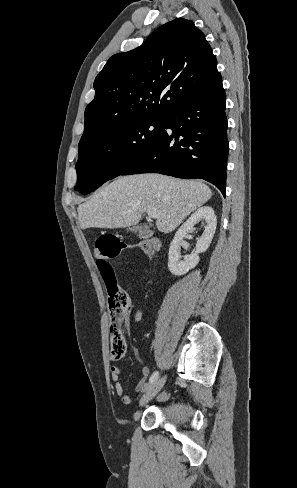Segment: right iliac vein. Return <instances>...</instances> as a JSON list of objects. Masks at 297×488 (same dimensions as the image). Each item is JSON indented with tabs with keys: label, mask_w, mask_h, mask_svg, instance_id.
<instances>
[{
	"label": "right iliac vein",
	"mask_w": 297,
	"mask_h": 488,
	"mask_svg": "<svg viewBox=\"0 0 297 488\" xmlns=\"http://www.w3.org/2000/svg\"><path fill=\"white\" fill-rule=\"evenodd\" d=\"M165 381H166V376L158 379L151 386H149V388L146 390V392L144 393V395L140 400V406H143L146 403H148L162 389Z\"/></svg>",
	"instance_id": "right-iliac-vein-1"
}]
</instances>
